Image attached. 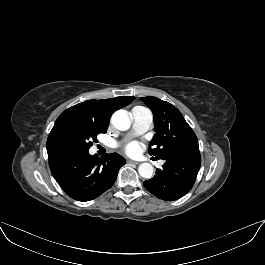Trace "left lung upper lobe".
Listing matches in <instances>:
<instances>
[{
  "mask_svg": "<svg viewBox=\"0 0 265 265\" xmlns=\"http://www.w3.org/2000/svg\"><path fill=\"white\" fill-rule=\"evenodd\" d=\"M141 100L154 115L156 133L149 144L150 155L161 159L169 153L199 151L195 133L175 106L152 96Z\"/></svg>",
  "mask_w": 265,
  "mask_h": 265,
  "instance_id": "1",
  "label": "left lung upper lobe"
}]
</instances>
